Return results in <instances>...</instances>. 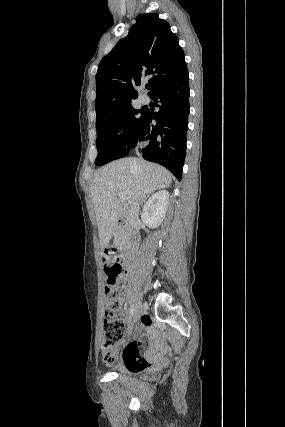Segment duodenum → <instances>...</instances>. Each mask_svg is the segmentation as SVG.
<instances>
[{"label":"duodenum","mask_w":285,"mask_h":427,"mask_svg":"<svg viewBox=\"0 0 285 427\" xmlns=\"http://www.w3.org/2000/svg\"><path fill=\"white\" fill-rule=\"evenodd\" d=\"M135 222L136 220L134 217H128L116 219L113 223V228L122 232V239L125 244L123 250V256L125 259H128L135 250L134 238L132 236Z\"/></svg>","instance_id":"1"}]
</instances>
